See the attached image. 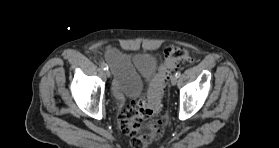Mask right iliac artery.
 Listing matches in <instances>:
<instances>
[{"instance_id":"1","label":"right iliac artery","mask_w":279,"mask_h":148,"mask_svg":"<svg viewBox=\"0 0 279 148\" xmlns=\"http://www.w3.org/2000/svg\"><path fill=\"white\" fill-rule=\"evenodd\" d=\"M101 67L103 70H108V65L106 63H102Z\"/></svg>"}]
</instances>
